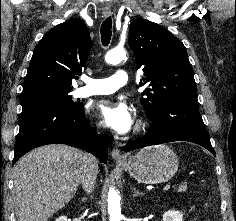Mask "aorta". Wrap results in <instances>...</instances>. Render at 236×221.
<instances>
[{
    "instance_id": "obj_1",
    "label": "aorta",
    "mask_w": 236,
    "mask_h": 221,
    "mask_svg": "<svg viewBox=\"0 0 236 221\" xmlns=\"http://www.w3.org/2000/svg\"><path fill=\"white\" fill-rule=\"evenodd\" d=\"M124 59H126V52L124 49L119 48L110 50L105 56L106 63L112 65H116ZM108 212L110 215V221H120V197L114 188H110L108 192Z\"/></svg>"
}]
</instances>
